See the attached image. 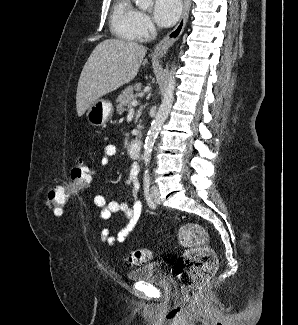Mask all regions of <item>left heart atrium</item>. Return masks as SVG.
I'll return each mask as SVG.
<instances>
[{
    "label": "left heart atrium",
    "instance_id": "39dd6f15",
    "mask_svg": "<svg viewBox=\"0 0 298 325\" xmlns=\"http://www.w3.org/2000/svg\"><path fill=\"white\" fill-rule=\"evenodd\" d=\"M182 12L181 0H155L153 17L160 27L172 26L180 17Z\"/></svg>",
    "mask_w": 298,
    "mask_h": 325
}]
</instances>
